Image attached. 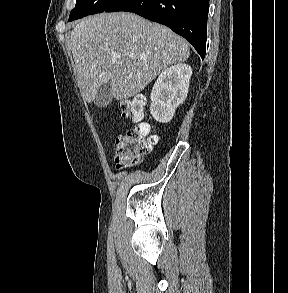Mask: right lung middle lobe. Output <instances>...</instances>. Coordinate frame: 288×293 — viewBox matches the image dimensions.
Returning a JSON list of instances; mask_svg holds the SVG:
<instances>
[{
	"mask_svg": "<svg viewBox=\"0 0 288 293\" xmlns=\"http://www.w3.org/2000/svg\"><path fill=\"white\" fill-rule=\"evenodd\" d=\"M118 0H76L75 8L71 11L69 21L84 16L101 13L111 7Z\"/></svg>",
	"mask_w": 288,
	"mask_h": 293,
	"instance_id": "right-lung-middle-lobe-1",
	"label": "right lung middle lobe"
}]
</instances>
